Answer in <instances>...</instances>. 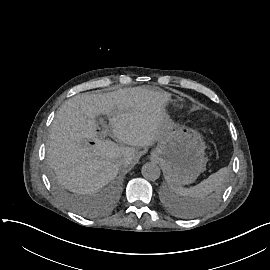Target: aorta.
<instances>
[{"mask_svg":"<svg viewBox=\"0 0 270 270\" xmlns=\"http://www.w3.org/2000/svg\"><path fill=\"white\" fill-rule=\"evenodd\" d=\"M142 175L147 180H157L161 175L160 167L155 163H146L142 167Z\"/></svg>","mask_w":270,"mask_h":270,"instance_id":"aorta-1","label":"aorta"}]
</instances>
